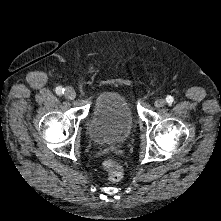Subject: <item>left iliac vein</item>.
I'll return each instance as SVG.
<instances>
[{
    "mask_svg": "<svg viewBox=\"0 0 221 221\" xmlns=\"http://www.w3.org/2000/svg\"><path fill=\"white\" fill-rule=\"evenodd\" d=\"M165 104H166V101L163 98H159L155 101V106L158 108L163 107Z\"/></svg>",
    "mask_w": 221,
    "mask_h": 221,
    "instance_id": "left-iliac-vein-1",
    "label": "left iliac vein"
}]
</instances>
